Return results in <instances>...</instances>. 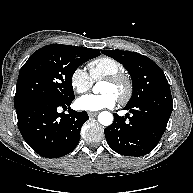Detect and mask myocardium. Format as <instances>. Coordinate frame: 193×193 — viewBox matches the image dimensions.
I'll use <instances>...</instances> for the list:
<instances>
[{
	"instance_id": "f54148a6",
	"label": "myocardium",
	"mask_w": 193,
	"mask_h": 193,
	"mask_svg": "<svg viewBox=\"0 0 193 193\" xmlns=\"http://www.w3.org/2000/svg\"><path fill=\"white\" fill-rule=\"evenodd\" d=\"M104 81H107L113 85L123 86L124 92L117 99L121 104L127 103L133 95V82L131 78L125 73H118L110 75L104 78Z\"/></svg>"
}]
</instances>
